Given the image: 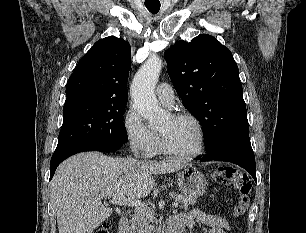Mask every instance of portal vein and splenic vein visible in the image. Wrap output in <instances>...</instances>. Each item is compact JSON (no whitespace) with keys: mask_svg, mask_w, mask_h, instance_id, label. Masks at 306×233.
<instances>
[{"mask_svg":"<svg viewBox=\"0 0 306 233\" xmlns=\"http://www.w3.org/2000/svg\"><path fill=\"white\" fill-rule=\"evenodd\" d=\"M111 202L117 205L135 206V207H141L143 209L147 208L145 203L141 202L140 200L126 198L123 194H119L118 196L112 197ZM172 205L173 207H177L178 201L173 202Z\"/></svg>","mask_w":306,"mask_h":233,"instance_id":"1","label":"portal vein and splenic vein"}]
</instances>
